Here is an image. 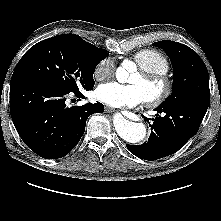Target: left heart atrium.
Returning <instances> with one entry per match:
<instances>
[{"instance_id": "1", "label": "left heart atrium", "mask_w": 221, "mask_h": 221, "mask_svg": "<svg viewBox=\"0 0 221 221\" xmlns=\"http://www.w3.org/2000/svg\"><path fill=\"white\" fill-rule=\"evenodd\" d=\"M95 97L113 107H134L147 99L140 86L117 82H108L98 86Z\"/></svg>"}]
</instances>
